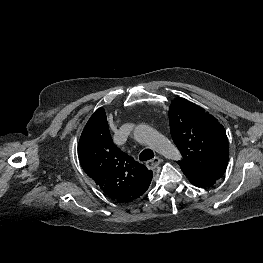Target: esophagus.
I'll return each mask as SVG.
<instances>
[{
    "label": "esophagus",
    "instance_id": "34e87169",
    "mask_svg": "<svg viewBox=\"0 0 263 263\" xmlns=\"http://www.w3.org/2000/svg\"><path fill=\"white\" fill-rule=\"evenodd\" d=\"M162 159L159 156H155L153 159L146 162L148 169H154L161 163Z\"/></svg>",
    "mask_w": 263,
    "mask_h": 263
}]
</instances>
